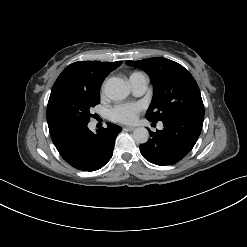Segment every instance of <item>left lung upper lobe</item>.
Wrapping results in <instances>:
<instances>
[{"label":"left lung upper lobe","instance_id":"obj_1","mask_svg":"<svg viewBox=\"0 0 247 247\" xmlns=\"http://www.w3.org/2000/svg\"><path fill=\"white\" fill-rule=\"evenodd\" d=\"M149 74L154 94L146 118L156 123L172 117L203 120L204 105L193 76L182 65L160 57L128 61Z\"/></svg>","mask_w":247,"mask_h":247}]
</instances>
